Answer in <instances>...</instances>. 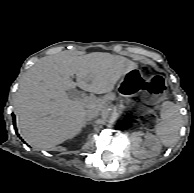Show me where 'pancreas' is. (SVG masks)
Listing matches in <instances>:
<instances>
[{"label": "pancreas", "instance_id": "1", "mask_svg": "<svg viewBox=\"0 0 194 193\" xmlns=\"http://www.w3.org/2000/svg\"><path fill=\"white\" fill-rule=\"evenodd\" d=\"M123 108H127L128 110L133 111L135 113L151 114V111L149 109H146L143 106H140V104L136 102L129 101V104Z\"/></svg>", "mask_w": 194, "mask_h": 193}]
</instances>
